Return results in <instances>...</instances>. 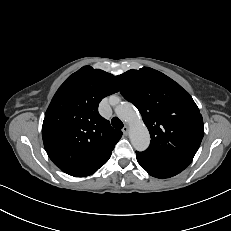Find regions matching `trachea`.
Masks as SVG:
<instances>
[{"label": "trachea", "instance_id": "3493384b", "mask_svg": "<svg viewBox=\"0 0 231 231\" xmlns=\"http://www.w3.org/2000/svg\"><path fill=\"white\" fill-rule=\"evenodd\" d=\"M111 124L116 129H122L123 128V122L117 117L112 118Z\"/></svg>", "mask_w": 231, "mask_h": 231}]
</instances>
